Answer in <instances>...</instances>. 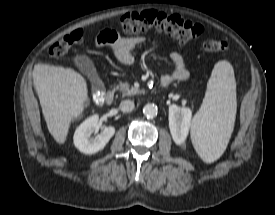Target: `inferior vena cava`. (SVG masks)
Returning a JSON list of instances; mask_svg holds the SVG:
<instances>
[{
  "mask_svg": "<svg viewBox=\"0 0 275 215\" xmlns=\"http://www.w3.org/2000/svg\"><path fill=\"white\" fill-rule=\"evenodd\" d=\"M119 107L122 112H131L134 109V102L131 100H124L120 103Z\"/></svg>",
  "mask_w": 275,
  "mask_h": 215,
  "instance_id": "1",
  "label": "inferior vena cava"
}]
</instances>
